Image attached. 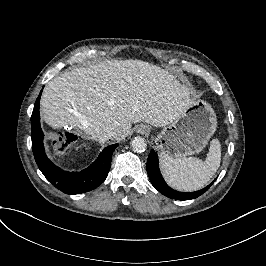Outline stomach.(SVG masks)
<instances>
[{
	"label": "stomach",
	"mask_w": 266,
	"mask_h": 266,
	"mask_svg": "<svg viewBox=\"0 0 266 266\" xmlns=\"http://www.w3.org/2000/svg\"><path fill=\"white\" fill-rule=\"evenodd\" d=\"M216 127L214 110L206 101L198 100L180 118L165 126L155 143L162 152L175 158L198 154L206 147Z\"/></svg>",
	"instance_id": "obj_1"
}]
</instances>
